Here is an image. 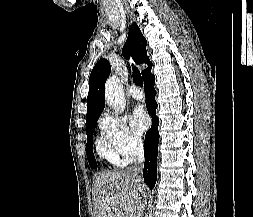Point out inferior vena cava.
Returning <instances> with one entry per match:
<instances>
[{
  "label": "inferior vena cava",
  "mask_w": 253,
  "mask_h": 217,
  "mask_svg": "<svg viewBox=\"0 0 253 217\" xmlns=\"http://www.w3.org/2000/svg\"><path fill=\"white\" fill-rule=\"evenodd\" d=\"M143 162H144V149H143V143L142 140L139 139L136 141V144L134 146L133 151V165L131 167H128L126 169V172L131 174L134 178V184L137 187L136 195L138 197L139 205L143 210V207H145V200L147 199V194H149V189L144 185L143 179H141V174L143 170ZM141 210V211H142ZM141 216V212L139 214V217Z\"/></svg>",
  "instance_id": "obj_1"
}]
</instances>
